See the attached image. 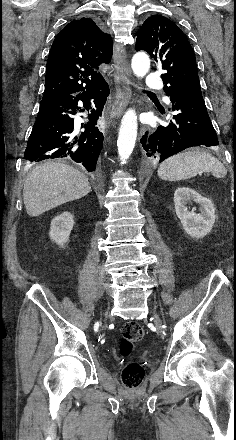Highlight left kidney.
<instances>
[{"label": "left kidney", "mask_w": 236, "mask_h": 440, "mask_svg": "<svg viewBox=\"0 0 236 440\" xmlns=\"http://www.w3.org/2000/svg\"><path fill=\"white\" fill-rule=\"evenodd\" d=\"M195 201L200 205V213L189 211L187 204ZM177 217L185 232L193 238H203L211 232L215 223V208L212 201L188 187H179L174 193Z\"/></svg>", "instance_id": "5707ae66"}]
</instances>
